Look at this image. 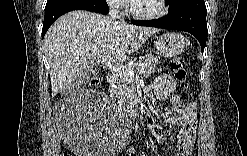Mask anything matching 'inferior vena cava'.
<instances>
[{
	"instance_id": "602c4592",
	"label": "inferior vena cava",
	"mask_w": 247,
	"mask_h": 156,
	"mask_svg": "<svg viewBox=\"0 0 247 156\" xmlns=\"http://www.w3.org/2000/svg\"><path fill=\"white\" fill-rule=\"evenodd\" d=\"M121 4L118 1L112 2L110 4L109 15L112 19L118 20L120 22H124L122 19L121 11H120Z\"/></svg>"
}]
</instances>
